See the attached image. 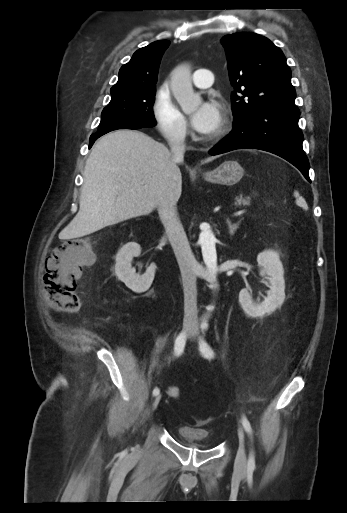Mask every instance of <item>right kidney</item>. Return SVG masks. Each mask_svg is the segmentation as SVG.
I'll use <instances>...</instances> for the list:
<instances>
[{
	"label": "right kidney",
	"instance_id": "ca27d5eb",
	"mask_svg": "<svg viewBox=\"0 0 347 513\" xmlns=\"http://www.w3.org/2000/svg\"><path fill=\"white\" fill-rule=\"evenodd\" d=\"M141 253L140 245L129 242L124 245L116 255L115 274L119 280L136 293L148 290L153 282L156 266L153 264L147 268L143 275L136 273L131 262L133 257Z\"/></svg>",
	"mask_w": 347,
	"mask_h": 513
}]
</instances>
